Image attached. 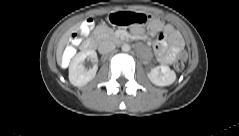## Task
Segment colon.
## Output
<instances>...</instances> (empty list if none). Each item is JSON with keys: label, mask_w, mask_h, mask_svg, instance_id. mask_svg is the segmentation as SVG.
<instances>
[{"label": "colon", "mask_w": 239, "mask_h": 136, "mask_svg": "<svg viewBox=\"0 0 239 136\" xmlns=\"http://www.w3.org/2000/svg\"><path fill=\"white\" fill-rule=\"evenodd\" d=\"M91 26H92V22H91L90 20H87V21L84 23V25H83V27H82V30H83L84 32H87V31H89V29L91 28ZM66 51H67V52H72L73 49H72L71 47H68V48L66 49ZM184 59H185V54H184L183 52H181V53L179 54L178 58L176 59L175 63H174V67H175V69H176L177 71H181V70L183 69V67H184Z\"/></svg>", "instance_id": "colon-1"}]
</instances>
